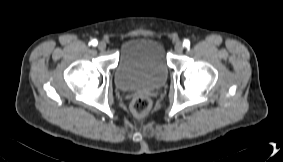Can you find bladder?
<instances>
[{"mask_svg": "<svg viewBox=\"0 0 283 162\" xmlns=\"http://www.w3.org/2000/svg\"><path fill=\"white\" fill-rule=\"evenodd\" d=\"M169 66L163 45L149 37H134L121 47L114 71L115 86L124 91L155 89L165 83Z\"/></svg>", "mask_w": 283, "mask_h": 162, "instance_id": "1", "label": "bladder"}]
</instances>
